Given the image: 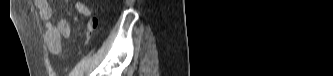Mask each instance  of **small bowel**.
Segmentation results:
<instances>
[{
  "label": "small bowel",
  "mask_w": 333,
  "mask_h": 76,
  "mask_svg": "<svg viewBox=\"0 0 333 76\" xmlns=\"http://www.w3.org/2000/svg\"><path fill=\"white\" fill-rule=\"evenodd\" d=\"M34 3L38 9L41 20L45 23L47 49L51 54L58 55L62 49V38L70 35V23L66 19H61L54 24L51 21L52 8L47 0H35ZM74 7L80 14L88 18L86 23V36L90 38L93 31L97 28L98 19L91 16V10L82 1H75Z\"/></svg>",
  "instance_id": "c3829d8e"
}]
</instances>
